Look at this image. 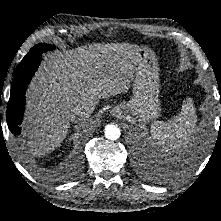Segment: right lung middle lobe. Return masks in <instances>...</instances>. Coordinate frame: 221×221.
Listing matches in <instances>:
<instances>
[{
  "label": "right lung middle lobe",
  "instance_id": "obj_1",
  "mask_svg": "<svg viewBox=\"0 0 221 221\" xmlns=\"http://www.w3.org/2000/svg\"><path fill=\"white\" fill-rule=\"evenodd\" d=\"M54 48H55L54 46L44 44V43L37 44L23 58V60L21 61V64H26V63L30 62L31 60H33L34 58L39 57L42 53H44L48 50H53Z\"/></svg>",
  "mask_w": 221,
  "mask_h": 221
}]
</instances>
